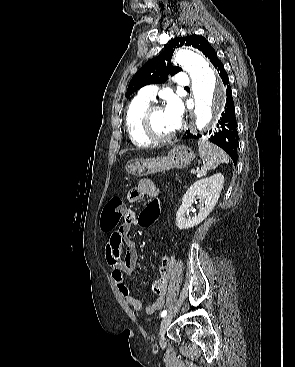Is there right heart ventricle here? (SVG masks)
<instances>
[{"instance_id": "e07e8e85", "label": "right heart ventricle", "mask_w": 295, "mask_h": 367, "mask_svg": "<svg viewBox=\"0 0 295 367\" xmlns=\"http://www.w3.org/2000/svg\"><path fill=\"white\" fill-rule=\"evenodd\" d=\"M150 105L149 100L135 97L128 105L125 114V126L130 140L134 145L146 148L152 145L141 129V119L144 111Z\"/></svg>"}]
</instances>
